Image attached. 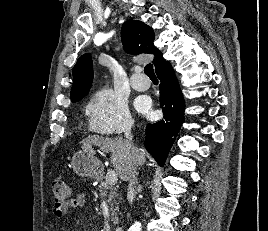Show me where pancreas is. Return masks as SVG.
<instances>
[{
  "instance_id": "obj_1",
  "label": "pancreas",
  "mask_w": 268,
  "mask_h": 231,
  "mask_svg": "<svg viewBox=\"0 0 268 231\" xmlns=\"http://www.w3.org/2000/svg\"><path fill=\"white\" fill-rule=\"evenodd\" d=\"M98 190L101 197L108 198L107 202L109 203L111 209V220L115 225L118 224L119 203L116 201V199L118 198L119 193L117 192V188L114 185H111L105 179L104 181L100 182Z\"/></svg>"
}]
</instances>
